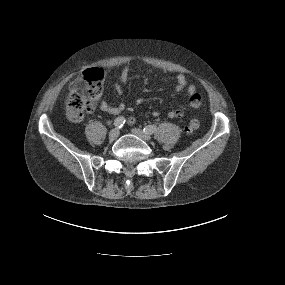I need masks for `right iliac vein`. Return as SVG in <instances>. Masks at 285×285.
<instances>
[{"mask_svg":"<svg viewBox=\"0 0 285 285\" xmlns=\"http://www.w3.org/2000/svg\"><path fill=\"white\" fill-rule=\"evenodd\" d=\"M119 134H120L119 129L118 128H114L109 133V139L110 140H115V139L118 138Z\"/></svg>","mask_w":285,"mask_h":285,"instance_id":"obj_1","label":"right iliac vein"}]
</instances>
